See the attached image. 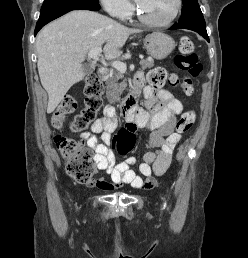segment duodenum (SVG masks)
Segmentation results:
<instances>
[{
  "label": "duodenum",
  "instance_id": "410a0bca",
  "mask_svg": "<svg viewBox=\"0 0 248 258\" xmlns=\"http://www.w3.org/2000/svg\"><path fill=\"white\" fill-rule=\"evenodd\" d=\"M98 75L100 79L104 81L108 78L109 73L107 69L103 68L98 71ZM140 82H141V78L140 76L137 75L134 80V85H135L134 90H132L128 95V97L120 103L121 113L125 119H129L131 115L138 108L137 99L139 95L138 92H139Z\"/></svg>",
  "mask_w": 248,
  "mask_h": 258
}]
</instances>
